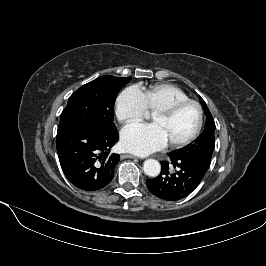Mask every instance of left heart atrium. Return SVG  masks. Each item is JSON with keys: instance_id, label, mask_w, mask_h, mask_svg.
<instances>
[{"instance_id": "1", "label": "left heart atrium", "mask_w": 266, "mask_h": 266, "mask_svg": "<svg viewBox=\"0 0 266 266\" xmlns=\"http://www.w3.org/2000/svg\"><path fill=\"white\" fill-rule=\"evenodd\" d=\"M125 150L139 155H146L163 148L168 142L156 124H131L121 133Z\"/></svg>"}]
</instances>
